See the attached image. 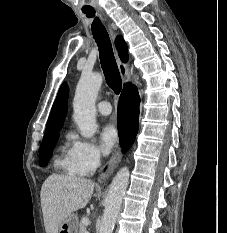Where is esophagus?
<instances>
[{
  "label": "esophagus",
  "mask_w": 227,
  "mask_h": 233,
  "mask_svg": "<svg viewBox=\"0 0 227 233\" xmlns=\"http://www.w3.org/2000/svg\"><path fill=\"white\" fill-rule=\"evenodd\" d=\"M102 15L104 16V18L106 20L105 15L103 13H102ZM108 27H109L110 35H111L112 39L114 40L115 39V32L111 28L110 24H108ZM117 63H118V68H119V71H120V74H121L122 78L125 81H129L130 80V75H129V72H128V67H127V65L125 63H123L119 59L118 55H117ZM121 158H122V153H121L120 149H118L117 152L112 157L106 173H104L103 175L100 176L99 183L102 184L107 180V178L113 173V171L115 170V168L119 164Z\"/></svg>",
  "instance_id": "obj_1"
}]
</instances>
